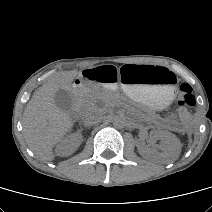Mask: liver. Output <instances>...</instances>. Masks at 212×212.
<instances>
[{"label":"liver","instance_id":"6515ba94","mask_svg":"<svg viewBox=\"0 0 212 212\" xmlns=\"http://www.w3.org/2000/svg\"><path fill=\"white\" fill-rule=\"evenodd\" d=\"M77 71H64L50 77L36 90L23 113L24 137L29 148L42 161L54 159L53 147L71 130L73 121L59 109L54 94L59 89H71Z\"/></svg>","mask_w":212,"mask_h":212}]
</instances>
